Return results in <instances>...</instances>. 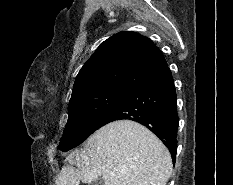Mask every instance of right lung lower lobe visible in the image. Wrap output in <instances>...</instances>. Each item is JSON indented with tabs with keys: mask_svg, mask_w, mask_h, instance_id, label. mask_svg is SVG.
<instances>
[{
	"mask_svg": "<svg viewBox=\"0 0 233 185\" xmlns=\"http://www.w3.org/2000/svg\"><path fill=\"white\" fill-rule=\"evenodd\" d=\"M176 99L172 74L166 67L131 89L102 120L99 128L120 119L136 121L162 140L169 148L174 163L179 121Z\"/></svg>",
	"mask_w": 233,
	"mask_h": 185,
	"instance_id": "obj_1",
	"label": "right lung lower lobe"
}]
</instances>
